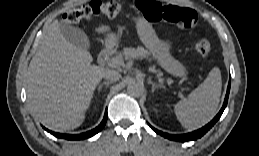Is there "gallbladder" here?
<instances>
[{"mask_svg":"<svg viewBox=\"0 0 259 156\" xmlns=\"http://www.w3.org/2000/svg\"><path fill=\"white\" fill-rule=\"evenodd\" d=\"M60 29L68 42L83 49H88L90 47L89 38L82 29L67 23H61Z\"/></svg>","mask_w":259,"mask_h":156,"instance_id":"1","label":"gallbladder"}]
</instances>
